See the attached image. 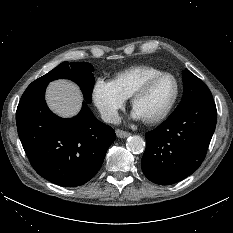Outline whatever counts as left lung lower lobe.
<instances>
[{
	"label": "left lung lower lobe",
	"mask_w": 233,
	"mask_h": 233,
	"mask_svg": "<svg viewBox=\"0 0 233 233\" xmlns=\"http://www.w3.org/2000/svg\"><path fill=\"white\" fill-rule=\"evenodd\" d=\"M216 105L212 97L174 111L154 131L146 134L141 167L145 176L161 185L177 183L203 162L215 131Z\"/></svg>",
	"instance_id": "left-lung-lower-lobe-1"
}]
</instances>
